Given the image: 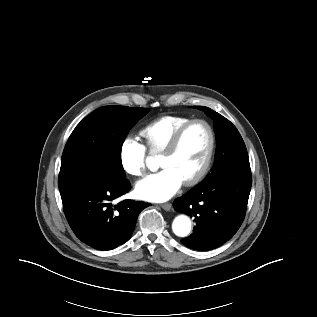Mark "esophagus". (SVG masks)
Masks as SVG:
<instances>
[{
    "label": "esophagus",
    "mask_w": 317,
    "mask_h": 317,
    "mask_svg": "<svg viewBox=\"0 0 317 317\" xmlns=\"http://www.w3.org/2000/svg\"><path fill=\"white\" fill-rule=\"evenodd\" d=\"M161 207L166 211H170L172 209V204L171 203H163V204H161Z\"/></svg>",
    "instance_id": "34e87169"
}]
</instances>
